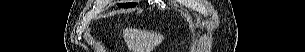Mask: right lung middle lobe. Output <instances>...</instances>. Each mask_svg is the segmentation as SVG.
<instances>
[{
	"instance_id": "right-lung-middle-lobe-1",
	"label": "right lung middle lobe",
	"mask_w": 305,
	"mask_h": 52,
	"mask_svg": "<svg viewBox=\"0 0 305 52\" xmlns=\"http://www.w3.org/2000/svg\"><path fill=\"white\" fill-rule=\"evenodd\" d=\"M119 5L123 6V7H132V6L136 5V3L119 4Z\"/></svg>"
}]
</instances>
